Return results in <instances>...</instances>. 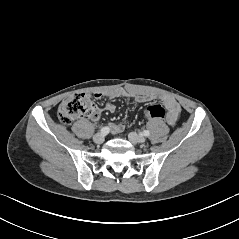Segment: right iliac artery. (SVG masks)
<instances>
[{
	"mask_svg": "<svg viewBox=\"0 0 239 239\" xmlns=\"http://www.w3.org/2000/svg\"><path fill=\"white\" fill-rule=\"evenodd\" d=\"M109 131H110V129L108 128V127H103L101 130H100V132L102 133V134H108L109 133Z\"/></svg>",
	"mask_w": 239,
	"mask_h": 239,
	"instance_id": "82829eb1",
	"label": "right iliac artery"
}]
</instances>
